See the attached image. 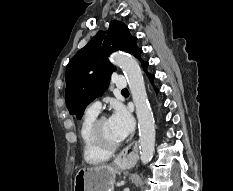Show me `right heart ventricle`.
<instances>
[{
    "instance_id": "e07e8e85",
    "label": "right heart ventricle",
    "mask_w": 233,
    "mask_h": 191,
    "mask_svg": "<svg viewBox=\"0 0 233 191\" xmlns=\"http://www.w3.org/2000/svg\"><path fill=\"white\" fill-rule=\"evenodd\" d=\"M97 118V113L87 111L81 121L79 127V137L82 144L83 156L89 164H99L107 161L111 153L103 152L96 148L90 138V129L92 123Z\"/></svg>"
}]
</instances>
